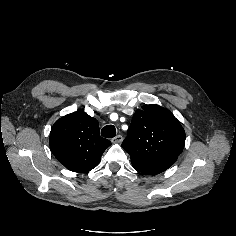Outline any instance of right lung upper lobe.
Returning a JSON list of instances; mask_svg holds the SVG:
<instances>
[{"mask_svg": "<svg viewBox=\"0 0 236 236\" xmlns=\"http://www.w3.org/2000/svg\"><path fill=\"white\" fill-rule=\"evenodd\" d=\"M50 149L67 169L83 173L98 164L111 142L99 134L98 121L78 110L57 120L50 133Z\"/></svg>", "mask_w": 236, "mask_h": 236, "instance_id": "right-lung-upper-lobe-1", "label": "right lung upper lobe"}]
</instances>
